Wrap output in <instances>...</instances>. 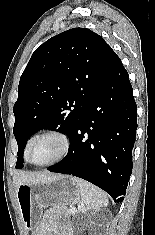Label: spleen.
<instances>
[{
  "label": "spleen",
  "instance_id": "1",
  "mask_svg": "<svg viewBox=\"0 0 155 235\" xmlns=\"http://www.w3.org/2000/svg\"><path fill=\"white\" fill-rule=\"evenodd\" d=\"M73 181L78 186L81 200L87 209H100L108 205L107 195L101 189L80 178L74 177Z\"/></svg>",
  "mask_w": 155,
  "mask_h": 235
}]
</instances>
